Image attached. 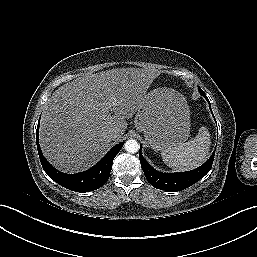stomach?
Returning a JSON list of instances; mask_svg holds the SVG:
<instances>
[{
  "instance_id": "0dacf381",
  "label": "stomach",
  "mask_w": 257,
  "mask_h": 257,
  "mask_svg": "<svg viewBox=\"0 0 257 257\" xmlns=\"http://www.w3.org/2000/svg\"><path fill=\"white\" fill-rule=\"evenodd\" d=\"M134 123L151 148L163 151L189 138V106L179 92L166 87L157 88L146 95L137 109Z\"/></svg>"
}]
</instances>
